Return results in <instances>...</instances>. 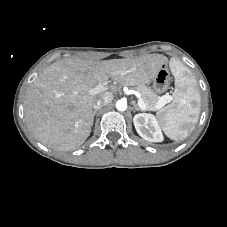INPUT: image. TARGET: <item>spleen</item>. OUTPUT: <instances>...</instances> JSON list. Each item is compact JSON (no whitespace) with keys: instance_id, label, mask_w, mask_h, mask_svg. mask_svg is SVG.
Masks as SVG:
<instances>
[{"instance_id":"obj_1","label":"spleen","mask_w":227,"mask_h":227,"mask_svg":"<svg viewBox=\"0 0 227 227\" xmlns=\"http://www.w3.org/2000/svg\"><path fill=\"white\" fill-rule=\"evenodd\" d=\"M175 77L174 100L158 114L159 122L167 137L178 141L188 137L197 123L200 113V94L195 78L180 61L170 62Z\"/></svg>"}]
</instances>
